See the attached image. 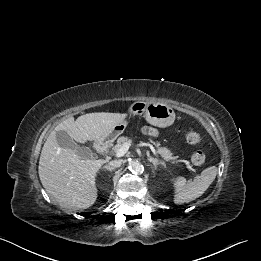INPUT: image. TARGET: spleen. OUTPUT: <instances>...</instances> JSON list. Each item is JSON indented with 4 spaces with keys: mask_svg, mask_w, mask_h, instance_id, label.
<instances>
[{
    "mask_svg": "<svg viewBox=\"0 0 261 261\" xmlns=\"http://www.w3.org/2000/svg\"><path fill=\"white\" fill-rule=\"evenodd\" d=\"M217 175V167L211 166L196 176L193 181H186L182 176H178L173 181L174 203H189L200 197L211 185Z\"/></svg>",
    "mask_w": 261,
    "mask_h": 261,
    "instance_id": "spleen-1",
    "label": "spleen"
}]
</instances>
